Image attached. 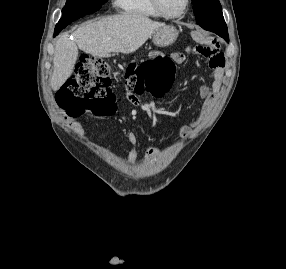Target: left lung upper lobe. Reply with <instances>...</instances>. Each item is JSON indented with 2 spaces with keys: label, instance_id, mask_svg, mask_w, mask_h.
<instances>
[{
  "label": "left lung upper lobe",
  "instance_id": "1",
  "mask_svg": "<svg viewBox=\"0 0 286 269\" xmlns=\"http://www.w3.org/2000/svg\"><path fill=\"white\" fill-rule=\"evenodd\" d=\"M192 2L196 23L199 26L216 34L227 32L219 0H192Z\"/></svg>",
  "mask_w": 286,
  "mask_h": 269
}]
</instances>
